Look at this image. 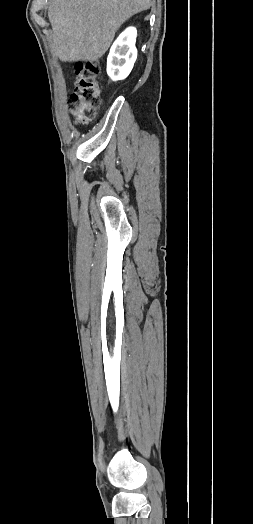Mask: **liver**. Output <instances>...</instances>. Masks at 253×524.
<instances>
[{"label":"liver","mask_w":253,"mask_h":524,"mask_svg":"<svg viewBox=\"0 0 253 524\" xmlns=\"http://www.w3.org/2000/svg\"><path fill=\"white\" fill-rule=\"evenodd\" d=\"M150 6L151 0H50L52 52L63 62L95 61L122 23Z\"/></svg>","instance_id":"1"}]
</instances>
